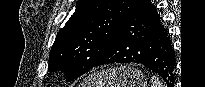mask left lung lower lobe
<instances>
[{
	"label": "left lung lower lobe",
	"instance_id": "1",
	"mask_svg": "<svg viewBox=\"0 0 205 87\" xmlns=\"http://www.w3.org/2000/svg\"><path fill=\"white\" fill-rule=\"evenodd\" d=\"M176 58L167 30L150 0H136L107 52L96 66L110 63H137L174 84Z\"/></svg>",
	"mask_w": 205,
	"mask_h": 87
}]
</instances>
